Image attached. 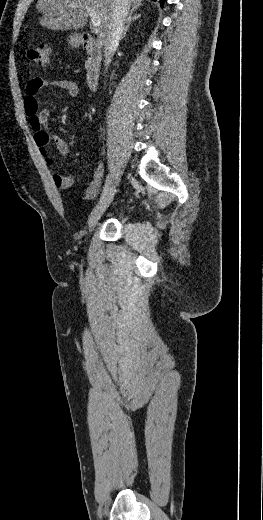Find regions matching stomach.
I'll list each match as a JSON object with an SVG mask.
<instances>
[{
	"label": "stomach",
	"mask_w": 263,
	"mask_h": 520,
	"mask_svg": "<svg viewBox=\"0 0 263 520\" xmlns=\"http://www.w3.org/2000/svg\"><path fill=\"white\" fill-rule=\"evenodd\" d=\"M81 40L80 37L77 34H74L70 37V43L73 46H78L80 44Z\"/></svg>",
	"instance_id": "stomach-1"
}]
</instances>
